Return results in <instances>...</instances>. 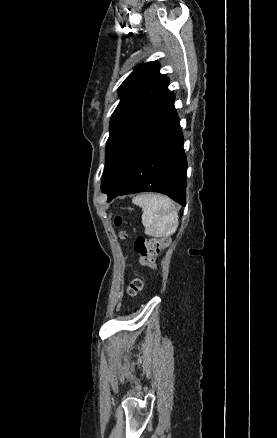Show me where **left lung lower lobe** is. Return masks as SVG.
I'll return each instance as SVG.
<instances>
[{"label":"left lung lower lobe","mask_w":277,"mask_h":438,"mask_svg":"<svg viewBox=\"0 0 277 438\" xmlns=\"http://www.w3.org/2000/svg\"><path fill=\"white\" fill-rule=\"evenodd\" d=\"M187 160L175 108L152 94L141 106L129 150L108 202L119 195L159 192L185 206Z\"/></svg>","instance_id":"0a47b994"}]
</instances>
